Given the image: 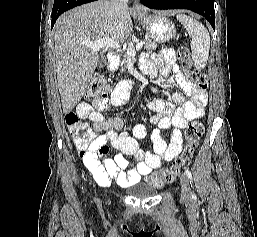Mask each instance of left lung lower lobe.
Segmentation results:
<instances>
[{"label": "left lung lower lobe", "mask_w": 257, "mask_h": 237, "mask_svg": "<svg viewBox=\"0 0 257 237\" xmlns=\"http://www.w3.org/2000/svg\"><path fill=\"white\" fill-rule=\"evenodd\" d=\"M152 9H189L204 16L215 29V10L213 0H140Z\"/></svg>", "instance_id": "0a47b994"}]
</instances>
